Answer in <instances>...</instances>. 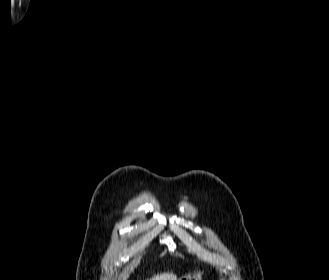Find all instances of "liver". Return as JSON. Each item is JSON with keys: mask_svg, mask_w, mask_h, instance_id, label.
I'll use <instances>...</instances> for the list:
<instances>
[{"mask_svg": "<svg viewBox=\"0 0 329 280\" xmlns=\"http://www.w3.org/2000/svg\"><path fill=\"white\" fill-rule=\"evenodd\" d=\"M150 280H177V277L174 273L164 272L157 275H154Z\"/></svg>", "mask_w": 329, "mask_h": 280, "instance_id": "1", "label": "liver"}]
</instances>
